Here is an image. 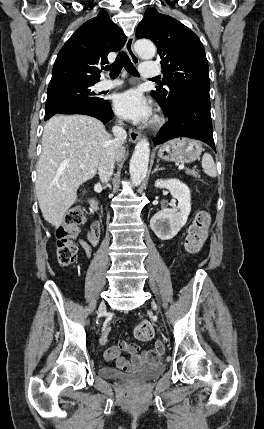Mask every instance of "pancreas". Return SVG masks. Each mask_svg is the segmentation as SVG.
I'll list each match as a JSON object with an SVG mask.
<instances>
[{
  "label": "pancreas",
  "instance_id": "pancreas-1",
  "mask_svg": "<svg viewBox=\"0 0 264 429\" xmlns=\"http://www.w3.org/2000/svg\"><path fill=\"white\" fill-rule=\"evenodd\" d=\"M187 174L192 175L193 177H199V173L195 170H186Z\"/></svg>",
  "mask_w": 264,
  "mask_h": 429
}]
</instances>
